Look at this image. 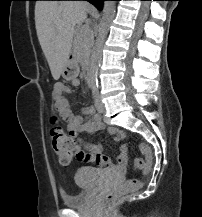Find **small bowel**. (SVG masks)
<instances>
[{"label": "small bowel", "instance_id": "small-bowel-1", "mask_svg": "<svg viewBox=\"0 0 202 217\" xmlns=\"http://www.w3.org/2000/svg\"><path fill=\"white\" fill-rule=\"evenodd\" d=\"M74 86H78L80 81L75 78L72 80ZM70 88L65 84L58 82L54 85V101L55 109L60 118L65 122L67 132L70 136L75 137L80 133H92L103 129V123L100 115L92 106L81 109V115L72 112L70 103L66 97L70 93ZM108 133L114 136L116 141H120L124 137V133L115 127L108 128ZM86 150L81 161L95 164L97 167L107 173L116 175H124L128 168V150L126 145H122L120 152L115 160L103 153L102 144L83 143Z\"/></svg>", "mask_w": 202, "mask_h": 217}]
</instances>
